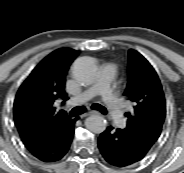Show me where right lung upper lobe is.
I'll list each match as a JSON object with an SVG mask.
<instances>
[{
	"label": "right lung upper lobe",
	"mask_w": 184,
	"mask_h": 173,
	"mask_svg": "<svg viewBox=\"0 0 184 173\" xmlns=\"http://www.w3.org/2000/svg\"><path fill=\"white\" fill-rule=\"evenodd\" d=\"M77 56L75 50L58 49L44 58L20 87L14 102L15 124L21 136L43 130L70 117L57 103L67 100L63 92L65 73Z\"/></svg>",
	"instance_id": "1"
}]
</instances>
